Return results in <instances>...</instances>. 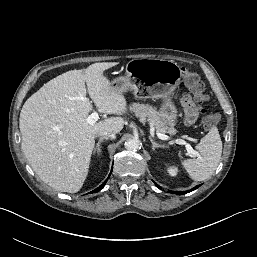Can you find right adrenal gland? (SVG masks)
<instances>
[{
  "instance_id": "right-adrenal-gland-1",
  "label": "right adrenal gland",
  "mask_w": 257,
  "mask_h": 257,
  "mask_svg": "<svg viewBox=\"0 0 257 257\" xmlns=\"http://www.w3.org/2000/svg\"><path fill=\"white\" fill-rule=\"evenodd\" d=\"M104 140H107V138H100V140L98 141V143L96 144V147L94 149V154L97 153V155H99L101 153V143L104 141Z\"/></svg>"
}]
</instances>
